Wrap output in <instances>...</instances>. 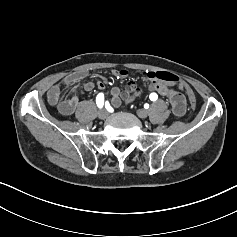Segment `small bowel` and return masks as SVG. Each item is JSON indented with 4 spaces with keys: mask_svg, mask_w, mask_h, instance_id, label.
<instances>
[{
    "mask_svg": "<svg viewBox=\"0 0 237 237\" xmlns=\"http://www.w3.org/2000/svg\"><path fill=\"white\" fill-rule=\"evenodd\" d=\"M151 73L147 74L148 79L150 80V84L148 85V89L151 92H157L160 95L166 97L172 107V111L176 117H182L186 111V99L184 95L180 92L183 88L180 85L178 89L175 88L173 85L156 80L151 77ZM113 75L116 78H126L128 73L125 70H114ZM87 76V71L84 69H79L74 72L67 74L65 77L62 78L60 82H56L51 85L47 92V99L48 102L55 106L58 111L62 115H72L74 114L80 107V100L77 95L72 96L71 98H64L62 97V86L63 85H73L82 80H84ZM84 89L88 92L94 90L96 87L98 89L105 88V82L99 80L97 82L94 81H86L83 85ZM121 90L118 87H114L111 90V104L114 107H118L121 104Z\"/></svg>",
    "mask_w": 237,
    "mask_h": 237,
    "instance_id": "obj_1",
    "label": "small bowel"
}]
</instances>
